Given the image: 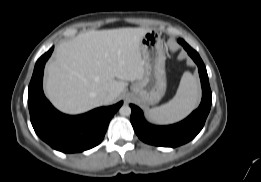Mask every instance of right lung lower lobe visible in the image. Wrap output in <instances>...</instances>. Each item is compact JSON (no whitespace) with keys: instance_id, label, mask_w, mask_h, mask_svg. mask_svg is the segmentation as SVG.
I'll return each instance as SVG.
<instances>
[{"instance_id":"1","label":"right lung lower lobe","mask_w":261,"mask_h":182,"mask_svg":"<svg viewBox=\"0 0 261 182\" xmlns=\"http://www.w3.org/2000/svg\"><path fill=\"white\" fill-rule=\"evenodd\" d=\"M54 47L36 62L28 89L30 119L36 134L53 149L64 153L82 152L97 146L108 124L123 102L70 116L57 111L43 93L44 66Z\"/></svg>"}]
</instances>
